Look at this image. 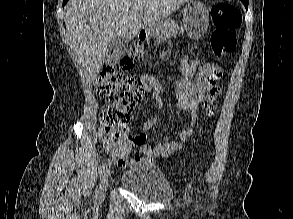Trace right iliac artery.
I'll use <instances>...</instances> for the list:
<instances>
[{"label":"right iliac artery","instance_id":"82829eb1","mask_svg":"<svg viewBox=\"0 0 293 219\" xmlns=\"http://www.w3.org/2000/svg\"><path fill=\"white\" fill-rule=\"evenodd\" d=\"M105 164L101 165L100 168H99V175H100V178L103 177L104 173H105Z\"/></svg>","mask_w":293,"mask_h":219}]
</instances>
